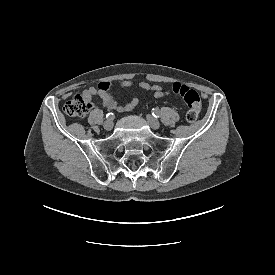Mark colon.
<instances>
[{
    "label": "colon",
    "instance_id": "1",
    "mask_svg": "<svg viewBox=\"0 0 275 275\" xmlns=\"http://www.w3.org/2000/svg\"><path fill=\"white\" fill-rule=\"evenodd\" d=\"M166 93H174L180 96L186 104V120L194 122L201 112V99L199 94L189 86L176 82L167 88ZM92 98L78 94L73 96L63 106L66 115L73 118H82L90 110Z\"/></svg>",
    "mask_w": 275,
    "mask_h": 275
}]
</instances>
